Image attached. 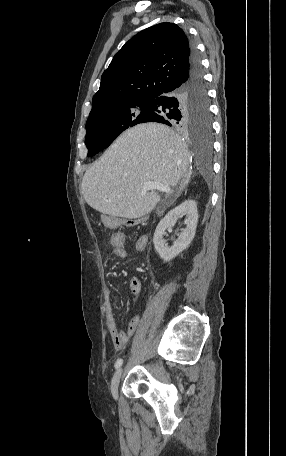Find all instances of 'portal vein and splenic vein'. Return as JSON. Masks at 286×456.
Segmentation results:
<instances>
[{
    "mask_svg": "<svg viewBox=\"0 0 286 456\" xmlns=\"http://www.w3.org/2000/svg\"><path fill=\"white\" fill-rule=\"evenodd\" d=\"M153 190H158L161 192L169 193L171 192V189L169 186L162 184L157 181H148L145 182L143 185V193H146L147 191H153Z\"/></svg>",
    "mask_w": 286,
    "mask_h": 456,
    "instance_id": "1",
    "label": "portal vein and splenic vein"
}]
</instances>
